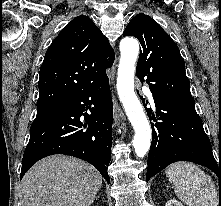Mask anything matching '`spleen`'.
I'll list each match as a JSON object with an SVG mask.
<instances>
[{
  "instance_id": "1",
  "label": "spleen",
  "mask_w": 221,
  "mask_h": 206,
  "mask_svg": "<svg viewBox=\"0 0 221 206\" xmlns=\"http://www.w3.org/2000/svg\"><path fill=\"white\" fill-rule=\"evenodd\" d=\"M166 175L174 191L188 206H218L219 197L212 178L189 162L170 165Z\"/></svg>"
}]
</instances>
